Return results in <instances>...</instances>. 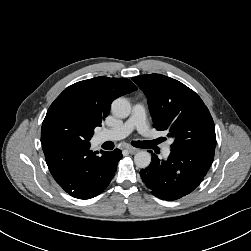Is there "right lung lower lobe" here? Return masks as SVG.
I'll return each mask as SVG.
<instances>
[{
  "instance_id": "obj_1",
  "label": "right lung lower lobe",
  "mask_w": 251,
  "mask_h": 251,
  "mask_svg": "<svg viewBox=\"0 0 251 251\" xmlns=\"http://www.w3.org/2000/svg\"><path fill=\"white\" fill-rule=\"evenodd\" d=\"M48 168L55 181L71 196L90 199L99 195L115 175L122 158L120 150L92 152L90 144H42Z\"/></svg>"
}]
</instances>
